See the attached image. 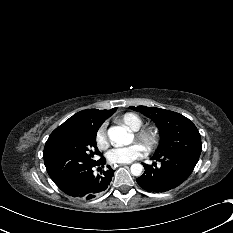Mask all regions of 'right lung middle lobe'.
Listing matches in <instances>:
<instances>
[{"mask_svg": "<svg viewBox=\"0 0 233 233\" xmlns=\"http://www.w3.org/2000/svg\"><path fill=\"white\" fill-rule=\"evenodd\" d=\"M103 122L59 131L46 143L44 163L57 185L103 158L96 146V134ZM95 155H101V158L96 161Z\"/></svg>", "mask_w": 233, "mask_h": 233, "instance_id": "right-lung-middle-lobe-1", "label": "right lung middle lobe"}]
</instances>
